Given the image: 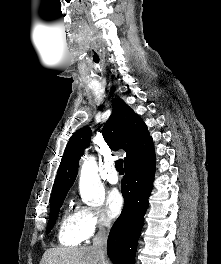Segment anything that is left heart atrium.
I'll return each mask as SVG.
<instances>
[{"mask_svg": "<svg viewBox=\"0 0 221 264\" xmlns=\"http://www.w3.org/2000/svg\"><path fill=\"white\" fill-rule=\"evenodd\" d=\"M124 200L117 189L111 190L106 198L107 213L111 218L118 216L123 208Z\"/></svg>", "mask_w": 221, "mask_h": 264, "instance_id": "obj_1", "label": "left heart atrium"}]
</instances>
